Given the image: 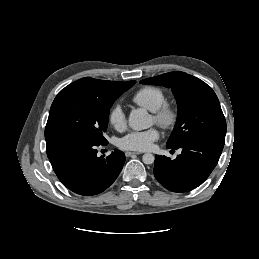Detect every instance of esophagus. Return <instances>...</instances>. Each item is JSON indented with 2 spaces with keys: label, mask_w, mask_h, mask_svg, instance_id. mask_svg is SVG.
<instances>
[{
  "label": "esophagus",
  "mask_w": 259,
  "mask_h": 259,
  "mask_svg": "<svg viewBox=\"0 0 259 259\" xmlns=\"http://www.w3.org/2000/svg\"><path fill=\"white\" fill-rule=\"evenodd\" d=\"M139 154H141V153H139V152H130V151L125 152L126 157H131V156L139 155Z\"/></svg>",
  "instance_id": "1"
}]
</instances>
